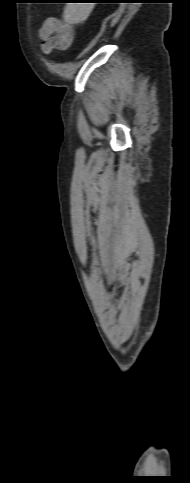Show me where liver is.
Masks as SVG:
<instances>
[{
    "label": "liver",
    "mask_w": 190,
    "mask_h": 483,
    "mask_svg": "<svg viewBox=\"0 0 190 483\" xmlns=\"http://www.w3.org/2000/svg\"><path fill=\"white\" fill-rule=\"evenodd\" d=\"M94 8V3H67L64 8L63 18L67 24L83 23Z\"/></svg>",
    "instance_id": "obj_1"
}]
</instances>
